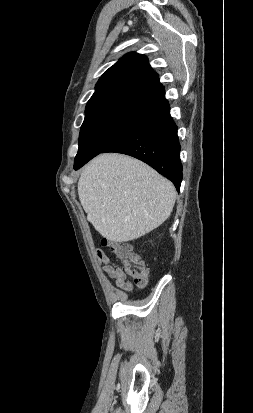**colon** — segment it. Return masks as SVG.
<instances>
[{"mask_svg": "<svg viewBox=\"0 0 253 413\" xmlns=\"http://www.w3.org/2000/svg\"><path fill=\"white\" fill-rule=\"evenodd\" d=\"M102 244L108 246L111 253L123 263L125 273L139 286L147 283L149 272L144 261L124 242H111L103 239Z\"/></svg>", "mask_w": 253, "mask_h": 413, "instance_id": "obj_1", "label": "colon"}]
</instances>
